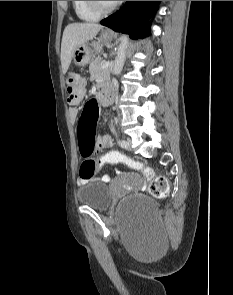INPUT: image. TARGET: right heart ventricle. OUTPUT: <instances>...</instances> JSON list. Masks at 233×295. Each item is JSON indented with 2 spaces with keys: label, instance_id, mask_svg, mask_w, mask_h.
Segmentation results:
<instances>
[{
  "label": "right heart ventricle",
  "instance_id": "e07e8e85",
  "mask_svg": "<svg viewBox=\"0 0 233 295\" xmlns=\"http://www.w3.org/2000/svg\"><path fill=\"white\" fill-rule=\"evenodd\" d=\"M76 16L83 21H96L99 15L93 12L86 1H72Z\"/></svg>",
  "mask_w": 233,
  "mask_h": 295
}]
</instances>
